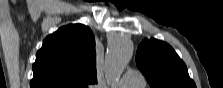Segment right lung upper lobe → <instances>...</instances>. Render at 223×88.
I'll return each instance as SVG.
<instances>
[{
  "label": "right lung upper lobe",
  "instance_id": "1",
  "mask_svg": "<svg viewBox=\"0 0 223 88\" xmlns=\"http://www.w3.org/2000/svg\"><path fill=\"white\" fill-rule=\"evenodd\" d=\"M31 88H87L97 83L95 39L82 24L47 36L36 54Z\"/></svg>",
  "mask_w": 223,
  "mask_h": 88
}]
</instances>
